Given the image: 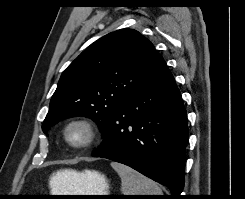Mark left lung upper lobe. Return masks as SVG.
Returning a JSON list of instances; mask_svg holds the SVG:
<instances>
[{"instance_id":"left-lung-upper-lobe-1","label":"left lung upper lobe","mask_w":245,"mask_h":199,"mask_svg":"<svg viewBox=\"0 0 245 199\" xmlns=\"http://www.w3.org/2000/svg\"><path fill=\"white\" fill-rule=\"evenodd\" d=\"M162 60L153 44L133 29L98 39L63 71L43 132L62 119L85 116L102 133L113 111L150 79Z\"/></svg>"}]
</instances>
